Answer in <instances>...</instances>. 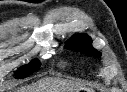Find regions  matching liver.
Instances as JSON below:
<instances>
[{"instance_id":"liver-1","label":"liver","mask_w":127,"mask_h":92,"mask_svg":"<svg viewBox=\"0 0 127 92\" xmlns=\"http://www.w3.org/2000/svg\"><path fill=\"white\" fill-rule=\"evenodd\" d=\"M83 87L80 83L59 78L43 79L38 84L22 87L18 92H78Z\"/></svg>"}]
</instances>
